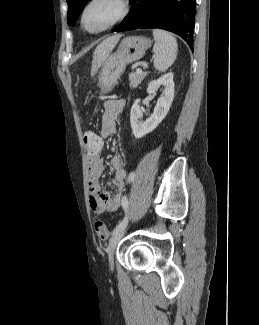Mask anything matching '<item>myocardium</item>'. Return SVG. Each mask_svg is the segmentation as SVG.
<instances>
[{
    "mask_svg": "<svg viewBox=\"0 0 259 325\" xmlns=\"http://www.w3.org/2000/svg\"><path fill=\"white\" fill-rule=\"evenodd\" d=\"M97 0H87L86 3L83 5L81 11H80V15H79V23L81 28L89 33V34H99L102 32H105L111 28H113L114 26L118 25L119 23H121L129 14L130 11V2L129 0H118V3L120 4V13L119 15L110 23H108L107 25L99 28V29H89L86 24H85V14L88 10V8Z\"/></svg>",
    "mask_w": 259,
    "mask_h": 325,
    "instance_id": "f54148a6",
    "label": "myocardium"
}]
</instances>
